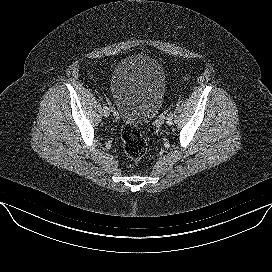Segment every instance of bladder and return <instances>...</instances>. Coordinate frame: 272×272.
Returning <instances> with one entry per match:
<instances>
[{
    "instance_id": "1",
    "label": "bladder",
    "mask_w": 272,
    "mask_h": 272,
    "mask_svg": "<svg viewBox=\"0 0 272 272\" xmlns=\"http://www.w3.org/2000/svg\"><path fill=\"white\" fill-rule=\"evenodd\" d=\"M110 90L116 110L126 123H146L162 106L166 90L164 69L147 55L127 57L114 69Z\"/></svg>"
}]
</instances>
